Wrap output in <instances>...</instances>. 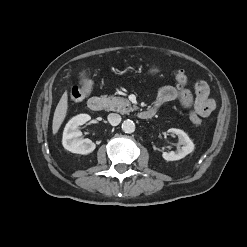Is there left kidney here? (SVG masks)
Returning a JSON list of instances; mask_svg holds the SVG:
<instances>
[{
  "instance_id": "left-kidney-1",
  "label": "left kidney",
  "mask_w": 247,
  "mask_h": 247,
  "mask_svg": "<svg viewBox=\"0 0 247 247\" xmlns=\"http://www.w3.org/2000/svg\"><path fill=\"white\" fill-rule=\"evenodd\" d=\"M168 133L176 134L182 147L177 152H163L162 157L166 161L180 160L194 150V143L183 130L171 128L168 130Z\"/></svg>"
}]
</instances>
